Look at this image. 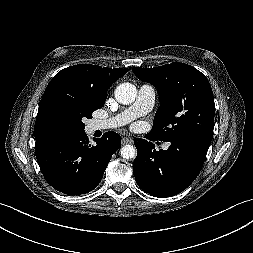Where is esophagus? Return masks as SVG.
Segmentation results:
<instances>
[{"label":"esophagus","mask_w":253,"mask_h":253,"mask_svg":"<svg viewBox=\"0 0 253 253\" xmlns=\"http://www.w3.org/2000/svg\"><path fill=\"white\" fill-rule=\"evenodd\" d=\"M133 142L132 139L130 138H127V137H123L122 138V144L125 145V144H131Z\"/></svg>","instance_id":"obj_1"}]
</instances>
